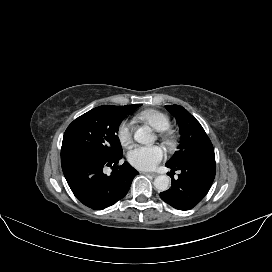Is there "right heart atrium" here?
I'll list each match as a JSON object with an SVG mask.
<instances>
[{
    "label": "right heart atrium",
    "instance_id": "d8ad5b80",
    "mask_svg": "<svg viewBox=\"0 0 272 272\" xmlns=\"http://www.w3.org/2000/svg\"><path fill=\"white\" fill-rule=\"evenodd\" d=\"M134 125L130 120L121 122L117 130V136L120 144L127 147L131 144L133 138Z\"/></svg>",
    "mask_w": 272,
    "mask_h": 272
}]
</instances>
